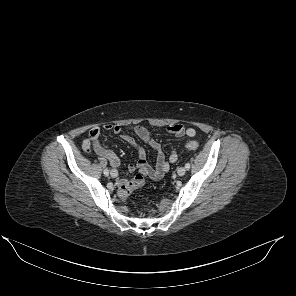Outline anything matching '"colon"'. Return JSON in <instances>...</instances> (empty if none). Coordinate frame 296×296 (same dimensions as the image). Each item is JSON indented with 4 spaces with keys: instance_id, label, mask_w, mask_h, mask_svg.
Wrapping results in <instances>:
<instances>
[{
    "instance_id": "5ec220e1",
    "label": "colon",
    "mask_w": 296,
    "mask_h": 296,
    "mask_svg": "<svg viewBox=\"0 0 296 296\" xmlns=\"http://www.w3.org/2000/svg\"><path fill=\"white\" fill-rule=\"evenodd\" d=\"M199 147L198 142L196 141H189L186 143V148L189 150H195ZM144 183V176L142 174L136 175L132 180L122 184L119 188V196L121 199H127L131 192L140 186H142ZM150 213H152V210H149Z\"/></svg>"
}]
</instances>
